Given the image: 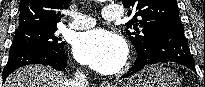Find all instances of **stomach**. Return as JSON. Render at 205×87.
Masks as SVG:
<instances>
[{"label":"stomach","instance_id":"stomach-1","mask_svg":"<svg viewBox=\"0 0 205 87\" xmlns=\"http://www.w3.org/2000/svg\"><path fill=\"white\" fill-rule=\"evenodd\" d=\"M179 77L170 68L163 65L147 66L136 73L124 87H180Z\"/></svg>","mask_w":205,"mask_h":87}]
</instances>
